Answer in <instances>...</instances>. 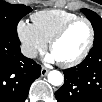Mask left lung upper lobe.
<instances>
[{
  "label": "left lung upper lobe",
  "instance_id": "obj_1",
  "mask_svg": "<svg viewBox=\"0 0 102 102\" xmlns=\"http://www.w3.org/2000/svg\"><path fill=\"white\" fill-rule=\"evenodd\" d=\"M81 12H83L86 17L90 20L94 32H95V38H94V44L96 43H102V19L99 15H97L95 12L88 10V9H81Z\"/></svg>",
  "mask_w": 102,
  "mask_h": 102
}]
</instances>
